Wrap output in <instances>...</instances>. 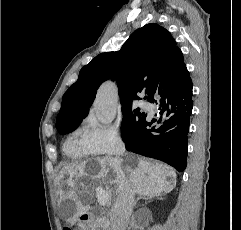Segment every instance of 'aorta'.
<instances>
[{"label":"aorta","instance_id":"762f6f07","mask_svg":"<svg viewBox=\"0 0 241 230\" xmlns=\"http://www.w3.org/2000/svg\"><path fill=\"white\" fill-rule=\"evenodd\" d=\"M117 90L113 83H103L96 94L94 112L102 124H110L116 116Z\"/></svg>","mask_w":241,"mask_h":230}]
</instances>
